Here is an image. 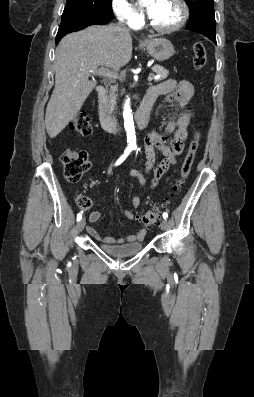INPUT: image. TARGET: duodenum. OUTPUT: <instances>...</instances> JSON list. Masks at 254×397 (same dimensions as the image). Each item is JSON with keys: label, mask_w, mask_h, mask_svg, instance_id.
Wrapping results in <instances>:
<instances>
[{"label": "duodenum", "mask_w": 254, "mask_h": 397, "mask_svg": "<svg viewBox=\"0 0 254 397\" xmlns=\"http://www.w3.org/2000/svg\"><path fill=\"white\" fill-rule=\"evenodd\" d=\"M106 89L102 86L97 89L98 98V114L99 121L102 128L106 131L115 132L120 129L119 123L111 116L106 105ZM153 99L149 95H145L137 113L136 124L142 129L145 128L149 122L150 112L153 106Z\"/></svg>", "instance_id": "410a0bca"}]
</instances>
